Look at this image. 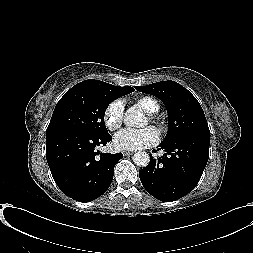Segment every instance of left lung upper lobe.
I'll return each instance as SVG.
<instances>
[{"mask_svg": "<svg viewBox=\"0 0 253 253\" xmlns=\"http://www.w3.org/2000/svg\"><path fill=\"white\" fill-rule=\"evenodd\" d=\"M135 89L156 96L166 106L169 127L163 142L187 133L210 136L207 120L199 102L182 85L175 81H163Z\"/></svg>", "mask_w": 253, "mask_h": 253, "instance_id": "5c2ea615", "label": "left lung upper lobe"}]
</instances>
